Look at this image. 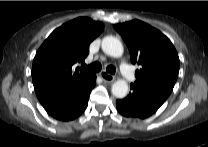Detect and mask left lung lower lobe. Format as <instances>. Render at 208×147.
I'll return each instance as SVG.
<instances>
[{
	"mask_svg": "<svg viewBox=\"0 0 208 147\" xmlns=\"http://www.w3.org/2000/svg\"><path fill=\"white\" fill-rule=\"evenodd\" d=\"M130 89L132 91L126 98L116 101L117 110L125 117L145 119L155 113L167 99L154 90L134 84L130 85Z\"/></svg>",
	"mask_w": 208,
	"mask_h": 147,
	"instance_id": "0a47b994",
	"label": "left lung lower lobe"
}]
</instances>
